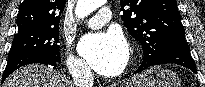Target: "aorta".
<instances>
[{
    "mask_svg": "<svg viewBox=\"0 0 205 87\" xmlns=\"http://www.w3.org/2000/svg\"><path fill=\"white\" fill-rule=\"evenodd\" d=\"M105 2L106 0H78L75 15L78 19H83L104 5Z\"/></svg>",
    "mask_w": 205,
    "mask_h": 87,
    "instance_id": "obj_1",
    "label": "aorta"
}]
</instances>
